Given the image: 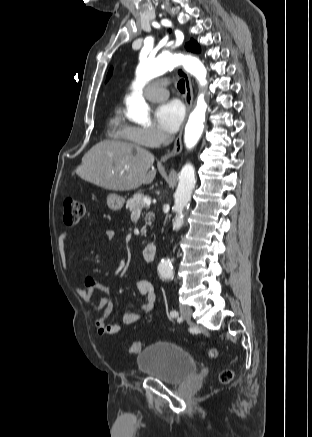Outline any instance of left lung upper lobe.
<instances>
[{"instance_id": "obj_1", "label": "left lung upper lobe", "mask_w": 312, "mask_h": 437, "mask_svg": "<svg viewBox=\"0 0 312 437\" xmlns=\"http://www.w3.org/2000/svg\"><path fill=\"white\" fill-rule=\"evenodd\" d=\"M185 47L187 50H190V51H194V52L199 51V45L194 40H191L189 43H187L185 45Z\"/></svg>"}]
</instances>
